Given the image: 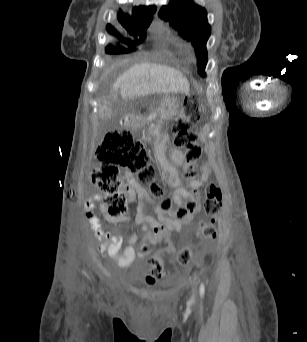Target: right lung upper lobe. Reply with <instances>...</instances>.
<instances>
[{"label":"right lung upper lobe","instance_id":"obj_1","mask_svg":"<svg viewBox=\"0 0 307 342\" xmlns=\"http://www.w3.org/2000/svg\"><path fill=\"white\" fill-rule=\"evenodd\" d=\"M156 10L155 6L149 7H134L133 17H130L123 12H121L118 16L119 22L125 27L127 30H130V33L133 35H145L146 28L152 21L151 14ZM138 29V31H136ZM107 30L111 34H117V31L113 26L107 25Z\"/></svg>","mask_w":307,"mask_h":342}]
</instances>
